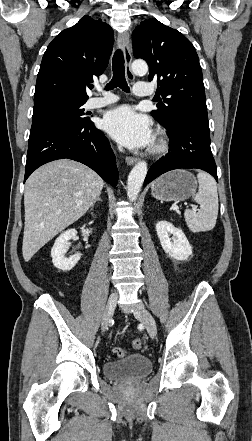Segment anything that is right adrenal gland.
<instances>
[{"label": "right adrenal gland", "mask_w": 252, "mask_h": 441, "mask_svg": "<svg viewBox=\"0 0 252 441\" xmlns=\"http://www.w3.org/2000/svg\"><path fill=\"white\" fill-rule=\"evenodd\" d=\"M97 201H102V199L100 198V195H98L97 198L95 199L93 205L91 206L92 208L94 207V204H95Z\"/></svg>", "instance_id": "1"}]
</instances>
